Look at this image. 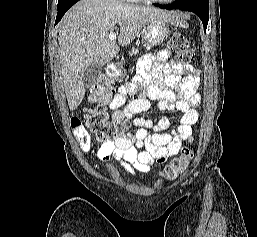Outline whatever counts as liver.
<instances>
[{"mask_svg": "<svg viewBox=\"0 0 257 237\" xmlns=\"http://www.w3.org/2000/svg\"><path fill=\"white\" fill-rule=\"evenodd\" d=\"M162 19L179 24L180 16L155 8L118 0H81L64 15L59 29L60 63L65 93L71 111L85 96L83 74L91 64L103 66L129 45L147 22ZM118 35L110 41V33Z\"/></svg>", "mask_w": 257, "mask_h": 237, "instance_id": "liver-1", "label": "liver"}]
</instances>
